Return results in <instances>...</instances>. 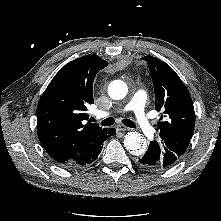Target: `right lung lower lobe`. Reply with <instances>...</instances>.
I'll return each mask as SVG.
<instances>
[{
	"instance_id": "right-lung-lower-lobe-1",
	"label": "right lung lower lobe",
	"mask_w": 221,
	"mask_h": 221,
	"mask_svg": "<svg viewBox=\"0 0 221 221\" xmlns=\"http://www.w3.org/2000/svg\"><path fill=\"white\" fill-rule=\"evenodd\" d=\"M115 133L116 130L114 128H104L92 143L78 153L75 158L67 160L66 162L61 163V165L65 168H78L89 165L98 158V155L103 148L104 141Z\"/></svg>"
}]
</instances>
